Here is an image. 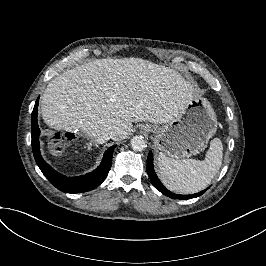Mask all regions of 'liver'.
I'll return each instance as SVG.
<instances>
[{
  "mask_svg": "<svg viewBox=\"0 0 266 266\" xmlns=\"http://www.w3.org/2000/svg\"><path fill=\"white\" fill-rule=\"evenodd\" d=\"M193 85L167 67L141 58L100 59L55 77L41 98L44 122L93 138L114 131L128 137L132 123L167 124L193 101Z\"/></svg>",
  "mask_w": 266,
  "mask_h": 266,
  "instance_id": "liver-1",
  "label": "liver"
}]
</instances>
